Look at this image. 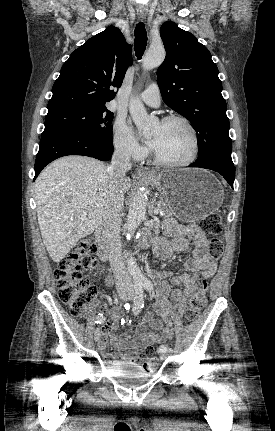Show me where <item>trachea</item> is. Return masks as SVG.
Instances as JSON below:
<instances>
[{
  "mask_svg": "<svg viewBox=\"0 0 275 431\" xmlns=\"http://www.w3.org/2000/svg\"><path fill=\"white\" fill-rule=\"evenodd\" d=\"M135 55L141 59L147 46V32L143 22H139L135 28Z\"/></svg>",
  "mask_w": 275,
  "mask_h": 431,
  "instance_id": "obj_1",
  "label": "trachea"
}]
</instances>
